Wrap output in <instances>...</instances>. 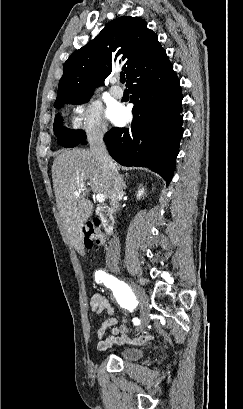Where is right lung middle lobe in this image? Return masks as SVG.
<instances>
[{
  "label": "right lung middle lobe",
  "mask_w": 243,
  "mask_h": 409,
  "mask_svg": "<svg viewBox=\"0 0 243 409\" xmlns=\"http://www.w3.org/2000/svg\"><path fill=\"white\" fill-rule=\"evenodd\" d=\"M89 99L81 100V101H76V102H67V104H82L87 102ZM63 103L55 104L54 107L59 109L63 106ZM54 129V134L55 136L59 139L58 143L59 145H62L63 147H75L84 140H86V135L84 131H74L62 127V117L60 115H57L55 118V123L53 125Z\"/></svg>",
  "instance_id": "right-lung-middle-lobe-1"
}]
</instances>
